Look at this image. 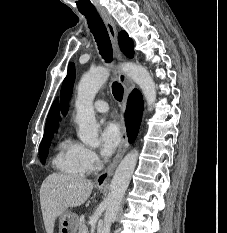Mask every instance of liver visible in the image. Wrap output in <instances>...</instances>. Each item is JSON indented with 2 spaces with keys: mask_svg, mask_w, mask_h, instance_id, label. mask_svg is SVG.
Listing matches in <instances>:
<instances>
[{
  "mask_svg": "<svg viewBox=\"0 0 227 233\" xmlns=\"http://www.w3.org/2000/svg\"><path fill=\"white\" fill-rule=\"evenodd\" d=\"M94 184L91 180L52 173L40 188V204L47 233H53L55 220L68 208L77 207L89 198Z\"/></svg>",
  "mask_w": 227,
  "mask_h": 233,
  "instance_id": "6515ba94",
  "label": "liver"
}]
</instances>
